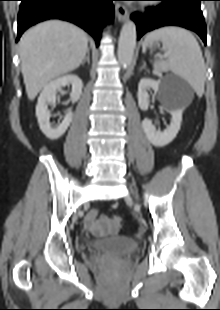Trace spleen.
Instances as JSON below:
<instances>
[{
	"mask_svg": "<svg viewBox=\"0 0 220 310\" xmlns=\"http://www.w3.org/2000/svg\"><path fill=\"white\" fill-rule=\"evenodd\" d=\"M154 41L162 42L168 59L154 63L158 71H172L185 79L198 96L204 93L205 65L201 48L194 35L180 27H163L150 32L143 43V50Z\"/></svg>",
	"mask_w": 220,
	"mask_h": 310,
	"instance_id": "3e777b00",
	"label": "spleen"
}]
</instances>
